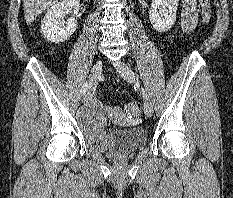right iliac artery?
Instances as JSON below:
<instances>
[{
  "label": "right iliac artery",
  "mask_w": 233,
  "mask_h": 198,
  "mask_svg": "<svg viewBox=\"0 0 233 198\" xmlns=\"http://www.w3.org/2000/svg\"><path fill=\"white\" fill-rule=\"evenodd\" d=\"M87 88H88V83H85L84 86H83V90H82L83 94L86 93Z\"/></svg>",
  "instance_id": "obj_1"
}]
</instances>
